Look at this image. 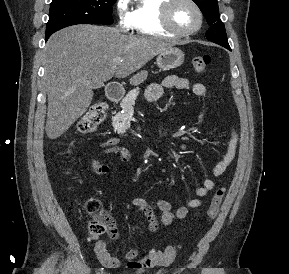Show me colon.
<instances>
[{"label": "colon", "instance_id": "1", "mask_svg": "<svg viewBox=\"0 0 289 274\" xmlns=\"http://www.w3.org/2000/svg\"><path fill=\"white\" fill-rule=\"evenodd\" d=\"M211 62L209 55L194 57L192 60L193 68L198 73H203ZM107 107L103 102H96L89 110L77 121L75 130L79 134H90L104 122L106 118ZM225 194L223 187L219 188L207 210V218L213 219L219 211L221 202ZM85 210L90 220L88 224V233L92 238H97L102 234H112L117 232L115 222L106 211L102 203L96 198H90L86 201ZM176 256V247L168 246L163 251L153 250L141 260H133L128 263V268L142 271L158 266L170 264Z\"/></svg>", "mask_w": 289, "mask_h": 274}]
</instances>
